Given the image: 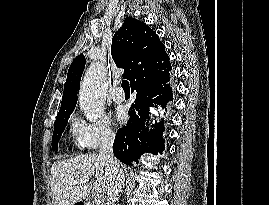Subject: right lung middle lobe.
<instances>
[{"label": "right lung middle lobe", "mask_w": 269, "mask_h": 205, "mask_svg": "<svg viewBox=\"0 0 269 205\" xmlns=\"http://www.w3.org/2000/svg\"><path fill=\"white\" fill-rule=\"evenodd\" d=\"M69 117L70 115H67V116H63L61 118L56 119L53 137H52V147L55 148L56 150H58V142L67 125V121Z\"/></svg>", "instance_id": "right-lung-middle-lobe-1"}]
</instances>
